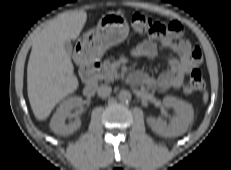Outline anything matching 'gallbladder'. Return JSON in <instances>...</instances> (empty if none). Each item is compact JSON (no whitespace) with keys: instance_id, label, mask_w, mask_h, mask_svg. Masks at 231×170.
I'll use <instances>...</instances> for the list:
<instances>
[{"instance_id":"gallbladder-1","label":"gallbladder","mask_w":231,"mask_h":170,"mask_svg":"<svg viewBox=\"0 0 231 170\" xmlns=\"http://www.w3.org/2000/svg\"><path fill=\"white\" fill-rule=\"evenodd\" d=\"M64 49L66 50V52L71 55L72 54V44L70 43V41H66L64 43Z\"/></svg>"}]
</instances>
